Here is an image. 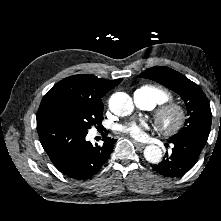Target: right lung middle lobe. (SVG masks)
Wrapping results in <instances>:
<instances>
[{"mask_svg": "<svg viewBox=\"0 0 221 221\" xmlns=\"http://www.w3.org/2000/svg\"><path fill=\"white\" fill-rule=\"evenodd\" d=\"M48 120L66 124L81 132H88L94 125L101 126L103 107L88 104H76L61 107L53 111Z\"/></svg>", "mask_w": 221, "mask_h": 221, "instance_id": "obj_1", "label": "right lung middle lobe"}]
</instances>
